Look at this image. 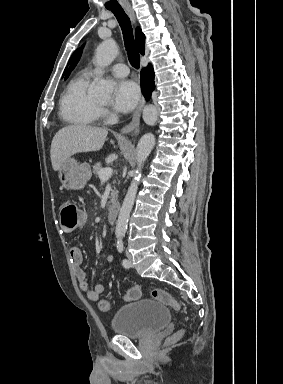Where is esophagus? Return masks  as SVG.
<instances>
[{
  "mask_svg": "<svg viewBox=\"0 0 283 384\" xmlns=\"http://www.w3.org/2000/svg\"><path fill=\"white\" fill-rule=\"evenodd\" d=\"M125 9L129 15V17L131 18L132 22H135V14H134V11L131 8V6H125ZM144 104H145V99L142 97L139 100V103H138L137 108L133 114L131 122L122 128L121 132L123 134H127V133L131 132L132 130L136 129V127H138L139 122H140L141 112H142V109L144 107Z\"/></svg>",
  "mask_w": 283,
  "mask_h": 384,
  "instance_id": "esophagus-1",
  "label": "esophagus"
}]
</instances>
